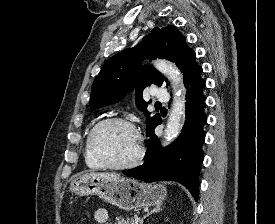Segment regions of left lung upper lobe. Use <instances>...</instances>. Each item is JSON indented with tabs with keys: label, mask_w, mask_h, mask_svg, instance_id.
I'll use <instances>...</instances> for the list:
<instances>
[{
	"label": "left lung upper lobe",
	"mask_w": 275,
	"mask_h": 224,
	"mask_svg": "<svg viewBox=\"0 0 275 224\" xmlns=\"http://www.w3.org/2000/svg\"><path fill=\"white\" fill-rule=\"evenodd\" d=\"M195 52L187 46L185 37L175 26L155 27L136 47L121 51L103 65L91 91L90 106L93 109L121 100L136 89V104L145 111L148 103L142 98L143 90L151 85L161 86L164 76L152 66L141 67L144 57L163 58L175 62L184 74V82L201 67L195 62ZM168 82V81H166ZM168 85V84H167ZM147 117V130L160 120L159 114Z\"/></svg>",
	"instance_id": "1"
}]
</instances>
